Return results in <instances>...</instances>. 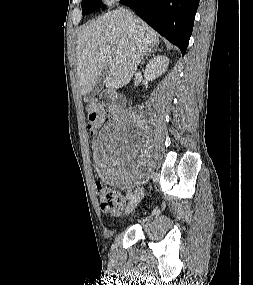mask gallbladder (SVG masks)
I'll use <instances>...</instances> for the list:
<instances>
[{
    "label": "gallbladder",
    "mask_w": 253,
    "mask_h": 285,
    "mask_svg": "<svg viewBox=\"0 0 253 285\" xmlns=\"http://www.w3.org/2000/svg\"><path fill=\"white\" fill-rule=\"evenodd\" d=\"M106 76H107V70L105 69L104 71H102V73L98 77L94 87L89 91L88 98H94L97 94L100 93V91L103 88L104 80Z\"/></svg>",
    "instance_id": "obj_1"
}]
</instances>
